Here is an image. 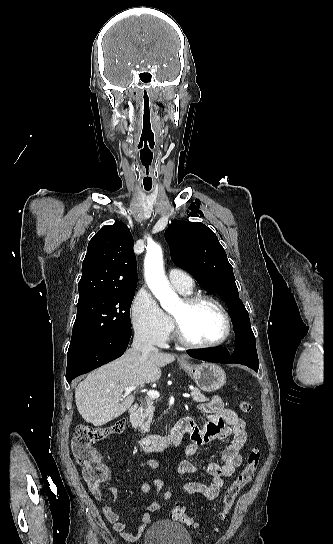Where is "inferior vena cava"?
I'll return each mask as SVG.
<instances>
[{
	"instance_id": "obj_1",
	"label": "inferior vena cava",
	"mask_w": 333,
	"mask_h": 544,
	"mask_svg": "<svg viewBox=\"0 0 333 544\" xmlns=\"http://www.w3.org/2000/svg\"><path fill=\"white\" fill-rule=\"evenodd\" d=\"M132 348L140 351L143 356H147L155 350L151 336L144 331H135Z\"/></svg>"
}]
</instances>
